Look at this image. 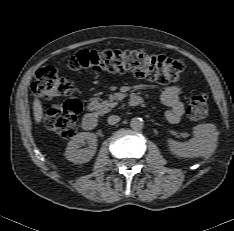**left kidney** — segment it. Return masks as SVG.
Segmentation results:
<instances>
[{"mask_svg":"<svg viewBox=\"0 0 234 231\" xmlns=\"http://www.w3.org/2000/svg\"><path fill=\"white\" fill-rule=\"evenodd\" d=\"M194 137L186 143L169 139L170 151L178 157H208L217 148L219 131L214 124L206 123L193 127Z\"/></svg>","mask_w":234,"mask_h":231,"instance_id":"1","label":"left kidney"}]
</instances>
